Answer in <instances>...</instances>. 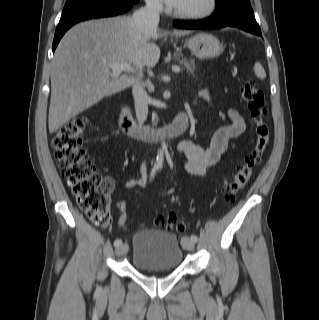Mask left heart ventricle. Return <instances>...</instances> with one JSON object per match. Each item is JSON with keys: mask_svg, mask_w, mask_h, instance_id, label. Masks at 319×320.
<instances>
[{"mask_svg": "<svg viewBox=\"0 0 319 320\" xmlns=\"http://www.w3.org/2000/svg\"><path fill=\"white\" fill-rule=\"evenodd\" d=\"M206 4L207 0H183L176 10L180 12H195L204 9Z\"/></svg>", "mask_w": 319, "mask_h": 320, "instance_id": "obj_1", "label": "left heart ventricle"}]
</instances>
